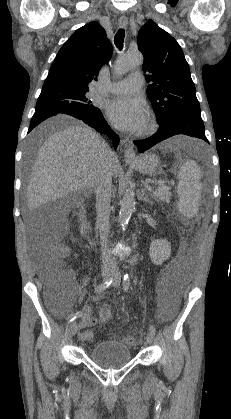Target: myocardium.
<instances>
[{
  "label": "myocardium",
  "instance_id": "f54148a6",
  "mask_svg": "<svg viewBox=\"0 0 231 419\" xmlns=\"http://www.w3.org/2000/svg\"><path fill=\"white\" fill-rule=\"evenodd\" d=\"M156 129V120L152 114H148L145 124L140 131V135H148L151 134Z\"/></svg>",
  "mask_w": 231,
  "mask_h": 419
}]
</instances>
